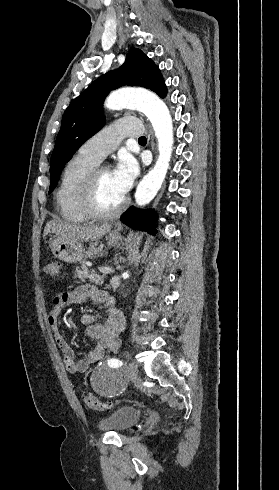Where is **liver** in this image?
<instances>
[{"label":"liver","instance_id":"6515ba94","mask_svg":"<svg viewBox=\"0 0 279 490\" xmlns=\"http://www.w3.org/2000/svg\"><path fill=\"white\" fill-rule=\"evenodd\" d=\"M111 228L112 224H102V226H72V224H65V222H61L59 218H56V220L47 222L43 236L45 238L48 234H56L59 238L72 240V242H89V240L103 238Z\"/></svg>","mask_w":279,"mask_h":490}]
</instances>
